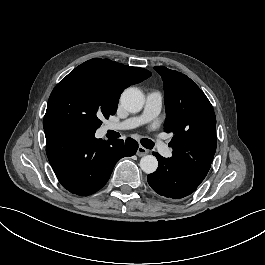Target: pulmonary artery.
Wrapping results in <instances>:
<instances>
[{"instance_id": "pulmonary-artery-1", "label": "pulmonary artery", "mask_w": 265, "mask_h": 265, "mask_svg": "<svg viewBox=\"0 0 265 265\" xmlns=\"http://www.w3.org/2000/svg\"><path fill=\"white\" fill-rule=\"evenodd\" d=\"M165 96L158 88H153L145 96V110L139 117H132L120 123H109L108 128L111 130H128L133 129L149 121L152 117L159 115Z\"/></svg>"}]
</instances>
